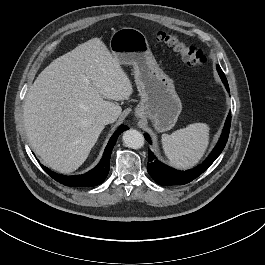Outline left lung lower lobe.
<instances>
[{
    "label": "left lung lower lobe",
    "mask_w": 265,
    "mask_h": 265,
    "mask_svg": "<svg viewBox=\"0 0 265 265\" xmlns=\"http://www.w3.org/2000/svg\"><path fill=\"white\" fill-rule=\"evenodd\" d=\"M217 70L227 91L229 92L228 82L223 71L219 66H217ZM230 125H231V113L228 115L226 119L221 137L217 145L215 146L211 154L208 156V158L204 161V163L201 164L200 166H197L196 168L185 172L178 171L161 163L155 157L152 151L149 150V158H148L149 162L147 163L148 173L159 185H179V184L189 183L190 181L197 178L200 174H202L220 155V153L222 152V150L224 149L227 143L230 131ZM145 138L149 143H151L148 134H145Z\"/></svg>",
    "instance_id": "obj_1"
}]
</instances>
